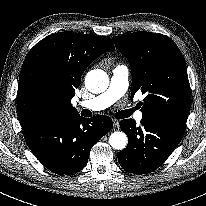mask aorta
Instances as JSON below:
<instances>
[{
  "label": "aorta",
  "instance_id": "aorta-1",
  "mask_svg": "<svg viewBox=\"0 0 206 206\" xmlns=\"http://www.w3.org/2000/svg\"><path fill=\"white\" fill-rule=\"evenodd\" d=\"M109 85V78L106 72L100 69H94L87 73L85 77L86 88L95 94L104 92ZM128 138L121 131L114 132L109 137V144L112 148L122 150L126 147Z\"/></svg>",
  "mask_w": 206,
  "mask_h": 206
}]
</instances>
